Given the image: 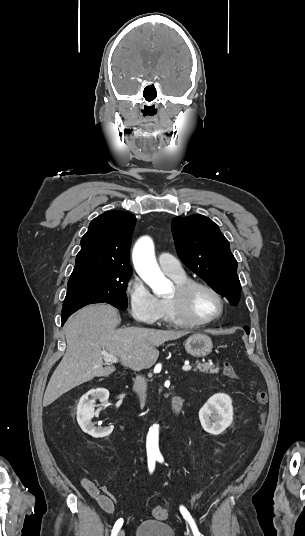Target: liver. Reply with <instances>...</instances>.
Listing matches in <instances>:
<instances>
[{"label": "liver", "instance_id": "liver-1", "mask_svg": "<svg viewBox=\"0 0 305 536\" xmlns=\"http://www.w3.org/2000/svg\"><path fill=\"white\" fill-rule=\"evenodd\" d=\"M119 322L117 310L106 304H91L69 318L64 326L66 354L51 376L43 406H49L62 394L84 382L113 374L114 366L103 368L104 352L120 358L123 366L139 372L156 364L159 356L157 346L189 334L149 328L115 330Z\"/></svg>", "mask_w": 305, "mask_h": 536}]
</instances>
